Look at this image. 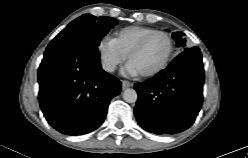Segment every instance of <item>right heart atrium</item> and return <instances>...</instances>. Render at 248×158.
Returning a JSON list of instances; mask_svg holds the SVG:
<instances>
[{
    "mask_svg": "<svg viewBox=\"0 0 248 158\" xmlns=\"http://www.w3.org/2000/svg\"><path fill=\"white\" fill-rule=\"evenodd\" d=\"M97 51L102 68L107 72H114L127 58L116 43L109 38H103L99 41Z\"/></svg>",
    "mask_w": 248,
    "mask_h": 158,
    "instance_id": "obj_1",
    "label": "right heart atrium"
}]
</instances>
